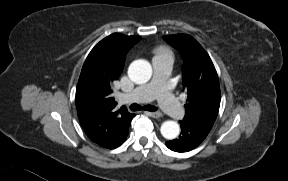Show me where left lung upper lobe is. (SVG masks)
Here are the masks:
<instances>
[{
  "label": "left lung upper lobe",
  "mask_w": 288,
  "mask_h": 181,
  "mask_svg": "<svg viewBox=\"0 0 288 181\" xmlns=\"http://www.w3.org/2000/svg\"><path fill=\"white\" fill-rule=\"evenodd\" d=\"M166 42L184 59L183 83L188 95L184 122L212 128L220 106V86L215 67L203 47L191 36L167 35Z\"/></svg>",
  "instance_id": "left-lung-upper-lobe-1"
}]
</instances>
